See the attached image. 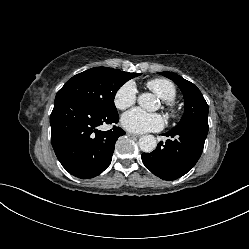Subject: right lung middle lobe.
<instances>
[{"instance_id": "right-lung-middle-lobe-1", "label": "right lung middle lobe", "mask_w": 249, "mask_h": 249, "mask_svg": "<svg viewBox=\"0 0 249 249\" xmlns=\"http://www.w3.org/2000/svg\"><path fill=\"white\" fill-rule=\"evenodd\" d=\"M139 75L140 73L121 72L107 67L91 68L68 80L56 97H72L98 112H117L114 105L117 90Z\"/></svg>"}]
</instances>
